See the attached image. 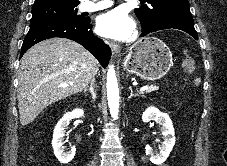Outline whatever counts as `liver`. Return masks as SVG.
Here are the masks:
<instances>
[{
  "mask_svg": "<svg viewBox=\"0 0 227 166\" xmlns=\"http://www.w3.org/2000/svg\"><path fill=\"white\" fill-rule=\"evenodd\" d=\"M98 67L95 57L70 39H47L30 48L18 75L21 125L31 123L50 104L87 89Z\"/></svg>",
  "mask_w": 227,
  "mask_h": 166,
  "instance_id": "liver-1",
  "label": "liver"
}]
</instances>
